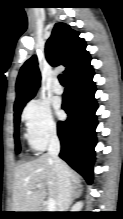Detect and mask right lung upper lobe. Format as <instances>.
Here are the masks:
<instances>
[{"mask_svg":"<svg viewBox=\"0 0 123 219\" xmlns=\"http://www.w3.org/2000/svg\"><path fill=\"white\" fill-rule=\"evenodd\" d=\"M45 56L52 66L64 65L66 77L91 59L86 51L85 41L79 37V32L70 29V26L65 23L55 24L52 34L46 42ZM40 80L38 61L36 56H33L23 64L18 74L14 111L25 106L35 96Z\"/></svg>","mask_w":123,"mask_h":219,"instance_id":"1","label":"right lung upper lobe"}]
</instances>
